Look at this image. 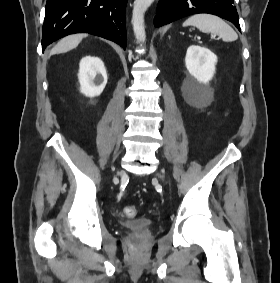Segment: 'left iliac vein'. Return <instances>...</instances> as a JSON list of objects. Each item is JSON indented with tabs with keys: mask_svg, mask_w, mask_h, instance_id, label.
I'll return each mask as SVG.
<instances>
[{
	"mask_svg": "<svg viewBox=\"0 0 280 283\" xmlns=\"http://www.w3.org/2000/svg\"><path fill=\"white\" fill-rule=\"evenodd\" d=\"M159 177H160L161 179H163V175H162V174H159Z\"/></svg>",
	"mask_w": 280,
	"mask_h": 283,
	"instance_id": "1",
	"label": "left iliac vein"
}]
</instances>
